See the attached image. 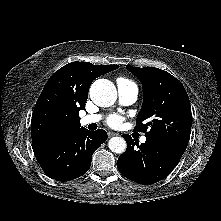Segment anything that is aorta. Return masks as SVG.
I'll return each instance as SVG.
<instances>
[{
    "instance_id": "762f6f07",
    "label": "aorta",
    "mask_w": 221,
    "mask_h": 221,
    "mask_svg": "<svg viewBox=\"0 0 221 221\" xmlns=\"http://www.w3.org/2000/svg\"><path fill=\"white\" fill-rule=\"evenodd\" d=\"M91 100L100 107H109L117 99V90L115 85L107 79H98L90 87ZM126 141L121 137H112L108 142L109 149L121 154L126 150Z\"/></svg>"
}]
</instances>
